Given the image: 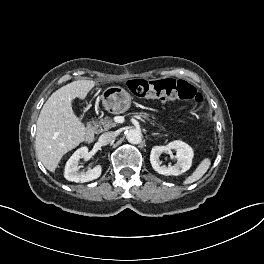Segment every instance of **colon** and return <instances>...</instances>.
Wrapping results in <instances>:
<instances>
[{
  "instance_id": "1",
  "label": "colon",
  "mask_w": 264,
  "mask_h": 264,
  "mask_svg": "<svg viewBox=\"0 0 264 264\" xmlns=\"http://www.w3.org/2000/svg\"><path fill=\"white\" fill-rule=\"evenodd\" d=\"M128 87L136 96L146 99H158L162 102L174 100H194L202 102V96L184 80L164 79L158 81L131 80Z\"/></svg>"
}]
</instances>
